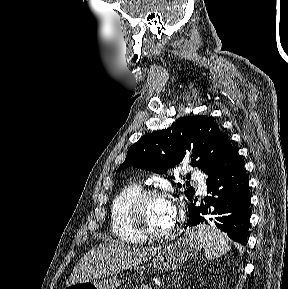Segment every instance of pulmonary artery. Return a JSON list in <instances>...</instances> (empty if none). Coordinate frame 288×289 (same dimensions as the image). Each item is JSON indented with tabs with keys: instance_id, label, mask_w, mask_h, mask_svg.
<instances>
[{
	"instance_id": "pulmonary-artery-1",
	"label": "pulmonary artery",
	"mask_w": 288,
	"mask_h": 289,
	"mask_svg": "<svg viewBox=\"0 0 288 289\" xmlns=\"http://www.w3.org/2000/svg\"><path fill=\"white\" fill-rule=\"evenodd\" d=\"M191 175L197 181L199 190L201 192H204L206 190V179H205V176L202 173L198 172V171H192Z\"/></svg>"
}]
</instances>
